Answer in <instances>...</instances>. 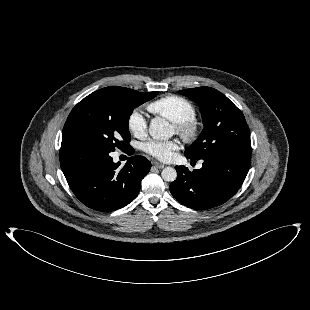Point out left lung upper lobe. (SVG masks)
I'll return each mask as SVG.
<instances>
[{
  "mask_svg": "<svg viewBox=\"0 0 310 310\" xmlns=\"http://www.w3.org/2000/svg\"><path fill=\"white\" fill-rule=\"evenodd\" d=\"M200 107L204 129L185 150L190 159H206L220 153L250 154V131L243 113L224 94L210 87L178 91Z\"/></svg>",
  "mask_w": 310,
  "mask_h": 310,
  "instance_id": "5c2ea615",
  "label": "left lung upper lobe"
}]
</instances>
